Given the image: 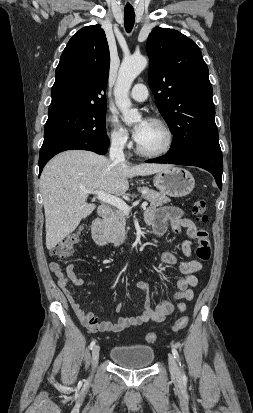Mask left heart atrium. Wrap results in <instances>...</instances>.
Masks as SVG:
<instances>
[{"label": "left heart atrium", "mask_w": 253, "mask_h": 413, "mask_svg": "<svg viewBox=\"0 0 253 413\" xmlns=\"http://www.w3.org/2000/svg\"><path fill=\"white\" fill-rule=\"evenodd\" d=\"M149 120H142L140 123H138L134 130H133V135L134 139L138 142L141 136L143 135L144 131L149 125Z\"/></svg>", "instance_id": "left-heart-atrium-1"}]
</instances>
